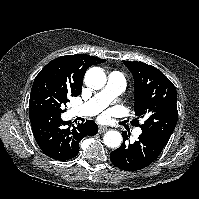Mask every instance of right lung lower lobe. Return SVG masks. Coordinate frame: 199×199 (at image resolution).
I'll use <instances>...</instances> for the list:
<instances>
[{
  "label": "right lung lower lobe",
  "instance_id": "98d812e1",
  "mask_svg": "<svg viewBox=\"0 0 199 199\" xmlns=\"http://www.w3.org/2000/svg\"><path fill=\"white\" fill-rule=\"evenodd\" d=\"M29 118L40 149L50 158L60 161L75 157L82 138L98 132L97 124L91 120L72 127L70 121H63L61 114L49 109L29 111Z\"/></svg>",
  "mask_w": 199,
  "mask_h": 199
}]
</instances>
